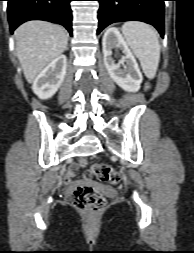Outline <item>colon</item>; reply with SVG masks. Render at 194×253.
<instances>
[{
    "label": "colon",
    "mask_w": 194,
    "mask_h": 253,
    "mask_svg": "<svg viewBox=\"0 0 194 253\" xmlns=\"http://www.w3.org/2000/svg\"><path fill=\"white\" fill-rule=\"evenodd\" d=\"M79 165L86 167L87 162L80 160ZM87 175H93L101 181H107L112 184L120 182V174L111 166L103 163L91 165L87 171ZM72 200L75 208L86 212H99L106 206L104 196L92 186L77 187L73 192Z\"/></svg>",
    "instance_id": "colon-1"
}]
</instances>
